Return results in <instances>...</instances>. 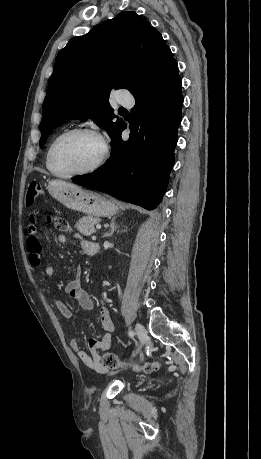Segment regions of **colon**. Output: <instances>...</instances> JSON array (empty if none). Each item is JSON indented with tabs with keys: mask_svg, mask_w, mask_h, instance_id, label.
I'll return each instance as SVG.
<instances>
[{
	"mask_svg": "<svg viewBox=\"0 0 261 459\" xmlns=\"http://www.w3.org/2000/svg\"><path fill=\"white\" fill-rule=\"evenodd\" d=\"M42 196V187L39 182L33 181L29 185L27 195H26V204L28 207L34 206L36 200ZM46 221L52 223L54 227L63 232L70 231V224L65 219L61 218H52L50 216L46 217ZM27 235L32 237L34 234H38L41 229V224L37 222L36 215L32 214L31 218L28 220ZM102 364L105 368L109 369H131L136 372L143 373H153L160 368V363L158 361H149L143 365H127L122 363L118 357L111 352H105L102 357Z\"/></svg>",
	"mask_w": 261,
	"mask_h": 459,
	"instance_id": "colon-1",
	"label": "colon"
}]
</instances>
